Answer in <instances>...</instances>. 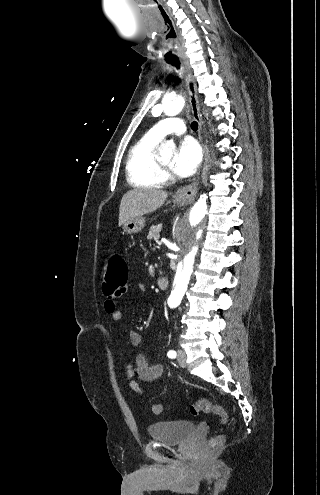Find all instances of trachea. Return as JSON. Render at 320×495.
<instances>
[{
    "label": "trachea",
    "mask_w": 320,
    "mask_h": 495,
    "mask_svg": "<svg viewBox=\"0 0 320 495\" xmlns=\"http://www.w3.org/2000/svg\"><path fill=\"white\" fill-rule=\"evenodd\" d=\"M173 66H175L177 69H180V62L178 60H173L170 62ZM191 128L192 130L196 131L198 129V123L196 121L191 123Z\"/></svg>",
    "instance_id": "1"
}]
</instances>
